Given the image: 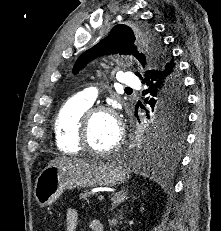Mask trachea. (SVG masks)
<instances>
[{"mask_svg": "<svg viewBox=\"0 0 221 231\" xmlns=\"http://www.w3.org/2000/svg\"><path fill=\"white\" fill-rule=\"evenodd\" d=\"M126 90H132L131 88H126Z\"/></svg>", "mask_w": 221, "mask_h": 231, "instance_id": "3493384b", "label": "trachea"}]
</instances>
